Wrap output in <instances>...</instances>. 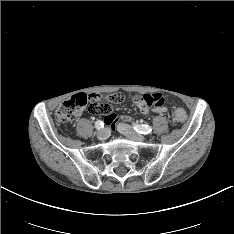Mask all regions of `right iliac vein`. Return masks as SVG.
I'll return each mask as SVG.
<instances>
[{
	"label": "right iliac vein",
	"mask_w": 234,
	"mask_h": 234,
	"mask_svg": "<svg viewBox=\"0 0 234 234\" xmlns=\"http://www.w3.org/2000/svg\"><path fill=\"white\" fill-rule=\"evenodd\" d=\"M109 135V130L108 128H103V129H100L98 132H97V138L99 140H105Z\"/></svg>",
	"instance_id": "63e3f726"
}]
</instances>
